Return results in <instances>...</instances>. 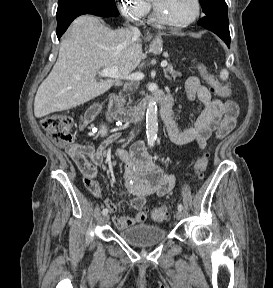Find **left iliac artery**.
I'll list each match as a JSON object with an SVG mask.
<instances>
[{
    "instance_id": "obj_1",
    "label": "left iliac artery",
    "mask_w": 273,
    "mask_h": 288,
    "mask_svg": "<svg viewBox=\"0 0 273 288\" xmlns=\"http://www.w3.org/2000/svg\"><path fill=\"white\" fill-rule=\"evenodd\" d=\"M177 208H178V210L182 211V210H183L182 204H179V205L177 206Z\"/></svg>"
}]
</instances>
